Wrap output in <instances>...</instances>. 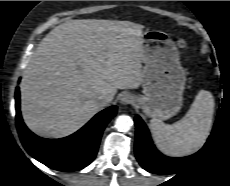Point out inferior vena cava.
Wrapping results in <instances>:
<instances>
[{
    "mask_svg": "<svg viewBox=\"0 0 230 186\" xmlns=\"http://www.w3.org/2000/svg\"><path fill=\"white\" fill-rule=\"evenodd\" d=\"M110 101H111V98L108 96H99L98 97V102L103 106L107 105Z\"/></svg>",
    "mask_w": 230,
    "mask_h": 186,
    "instance_id": "1",
    "label": "inferior vena cava"
}]
</instances>
